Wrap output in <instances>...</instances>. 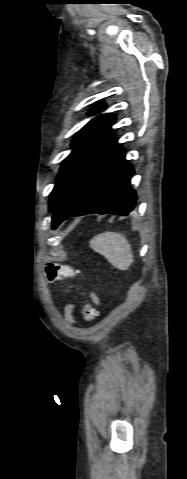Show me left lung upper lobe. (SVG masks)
<instances>
[{
	"label": "left lung upper lobe",
	"instance_id": "5c2ea615",
	"mask_svg": "<svg viewBox=\"0 0 187 479\" xmlns=\"http://www.w3.org/2000/svg\"><path fill=\"white\" fill-rule=\"evenodd\" d=\"M104 109L100 104L90 112L95 114ZM113 115L102 114L88 122L73 138V151L63 161L57 176V183L50 194L49 211H54L75 181L86 168L105 153L116 140L111 134Z\"/></svg>",
	"mask_w": 187,
	"mask_h": 479
}]
</instances>
